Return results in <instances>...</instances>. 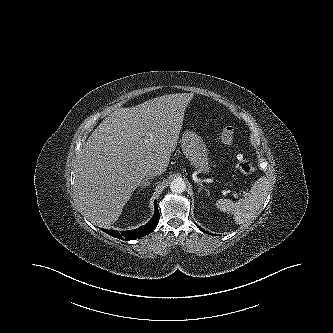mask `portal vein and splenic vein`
Here are the masks:
<instances>
[{"label":"portal vein and splenic vein","instance_id":"obj_1","mask_svg":"<svg viewBox=\"0 0 333 333\" xmlns=\"http://www.w3.org/2000/svg\"><path fill=\"white\" fill-rule=\"evenodd\" d=\"M234 197H237V194H236V193H234Z\"/></svg>","mask_w":333,"mask_h":333}]
</instances>
